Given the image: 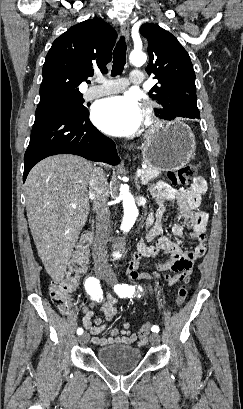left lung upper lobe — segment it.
<instances>
[{
	"instance_id": "obj_1",
	"label": "left lung upper lobe",
	"mask_w": 243,
	"mask_h": 409,
	"mask_svg": "<svg viewBox=\"0 0 243 409\" xmlns=\"http://www.w3.org/2000/svg\"><path fill=\"white\" fill-rule=\"evenodd\" d=\"M140 32L148 41L146 71L159 83L149 93L164 108L159 116L170 119L175 113L199 114L195 73L187 51L174 35L156 24H144Z\"/></svg>"
}]
</instances>
